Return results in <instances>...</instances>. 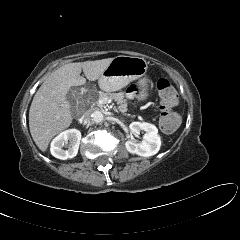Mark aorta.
Wrapping results in <instances>:
<instances>
[{
	"mask_svg": "<svg viewBox=\"0 0 240 240\" xmlns=\"http://www.w3.org/2000/svg\"><path fill=\"white\" fill-rule=\"evenodd\" d=\"M104 119V115L101 111H94L92 113V120L95 122V123H101Z\"/></svg>",
	"mask_w": 240,
	"mask_h": 240,
	"instance_id": "762f6f07",
	"label": "aorta"
}]
</instances>
